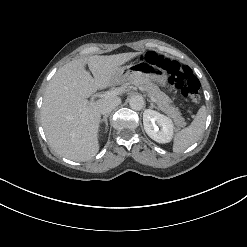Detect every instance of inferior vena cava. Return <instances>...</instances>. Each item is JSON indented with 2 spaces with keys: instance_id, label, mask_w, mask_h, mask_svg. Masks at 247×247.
<instances>
[{
  "instance_id": "602c4592",
  "label": "inferior vena cava",
  "mask_w": 247,
  "mask_h": 247,
  "mask_svg": "<svg viewBox=\"0 0 247 247\" xmlns=\"http://www.w3.org/2000/svg\"><path fill=\"white\" fill-rule=\"evenodd\" d=\"M121 103V100L116 98V99H109V100H104L100 104V113L103 115L109 114L114 108H116L119 104Z\"/></svg>"
}]
</instances>
